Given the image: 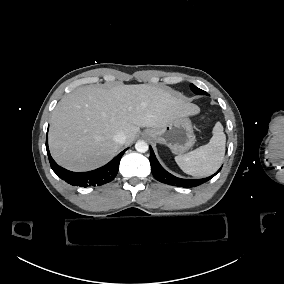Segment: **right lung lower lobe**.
I'll return each mask as SVG.
<instances>
[{"label": "right lung lower lobe", "instance_id": "1", "mask_svg": "<svg viewBox=\"0 0 284 284\" xmlns=\"http://www.w3.org/2000/svg\"><path fill=\"white\" fill-rule=\"evenodd\" d=\"M46 149L51 168L61 179L73 186L90 187L103 185L115 178L119 169L120 159L128 148L118 154L108 164L89 172H72L60 167L50 155L47 140Z\"/></svg>", "mask_w": 284, "mask_h": 284}]
</instances>
